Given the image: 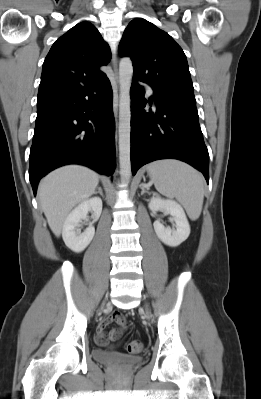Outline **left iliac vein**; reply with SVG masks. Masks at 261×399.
I'll use <instances>...</instances> for the list:
<instances>
[{
  "instance_id": "4c4485c4",
  "label": "left iliac vein",
  "mask_w": 261,
  "mask_h": 399,
  "mask_svg": "<svg viewBox=\"0 0 261 399\" xmlns=\"http://www.w3.org/2000/svg\"><path fill=\"white\" fill-rule=\"evenodd\" d=\"M146 318L149 320L150 318H151V316H150V312H149V310H148V308H146Z\"/></svg>"
}]
</instances>
